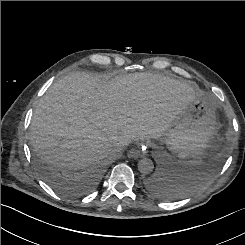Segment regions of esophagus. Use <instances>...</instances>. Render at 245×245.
Segmentation results:
<instances>
[{
    "mask_svg": "<svg viewBox=\"0 0 245 245\" xmlns=\"http://www.w3.org/2000/svg\"><path fill=\"white\" fill-rule=\"evenodd\" d=\"M141 153H143V154L148 153V147H147V145L144 144V143L139 144V145H138V148H136V149L130 151V152H129V156H130V157H133V158H136V157H137L139 154H141Z\"/></svg>",
    "mask_w": 245,
    "mask_h": 245,
    "instance_id": "1",
    "label": "esophagus"
}]
</instances>
